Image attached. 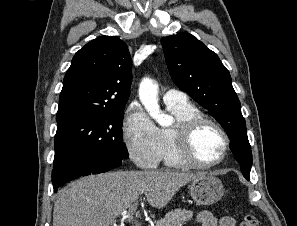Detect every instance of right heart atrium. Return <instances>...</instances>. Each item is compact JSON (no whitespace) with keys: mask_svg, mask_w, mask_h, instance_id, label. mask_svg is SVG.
Masks as SVG:
<instances>
[{"mask_svg":"<svg viewBox=\"0 0 297 226\" xmlns=\"http://www.w3.org/2000/svg\"><path fill=\"white\" fill-rule=\"evenodd\" d=\"M122 138L132 161L140 168H155L162 156L159 129L137 102L128 107Z\"/></svg>","mask_w":297,"mask_h":226,"instance_id":"right-heart-atrium-1","label":"right heart atrium"}]
</instances>
